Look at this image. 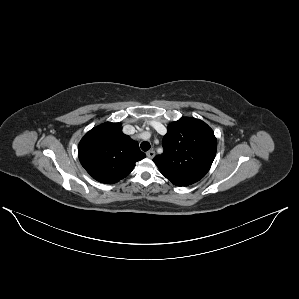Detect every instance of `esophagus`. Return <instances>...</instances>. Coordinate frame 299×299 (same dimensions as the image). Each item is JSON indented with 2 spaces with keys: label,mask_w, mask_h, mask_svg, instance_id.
Listing matches in <instances>:
<instances>
[{
  "label": "esophagus",
  "mask_w": 299,
  "mask_h": 299,
  "mask_svg": "<svg viewBox=\"0 0 299 299\" xmlns=\"http://www.w3.org/2000/svg\"><path fill=\"white\" fill-rule=\"evenodd\" d=\"M147 157L148 158H153L155 156V151L154 150H150L146 153Z\"/></svg>",
  "instance_id": "esophagus-1"
}]
</instances>
